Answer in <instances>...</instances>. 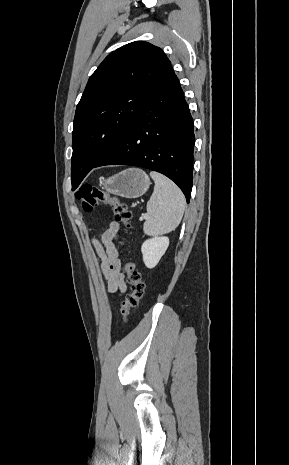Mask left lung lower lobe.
<instances>
[{
    "mask_svg": "<svg viewBox=\"0 0 289 465\" xmlns=\"http://www.w3.org/2000/svg\"><path fill=\"white\" fill-rule=\"evenodd\" d=\"M193 120L175 74L147 98L134 121L94 166L134 165L162 173L189 203L193 182Z\"/></svg>",
    "mask_w": 289,
    "mask_h": 465,
    "instance_id": "0a47b994",
    "label": "left lung lower lobe"
}]
</instances>
